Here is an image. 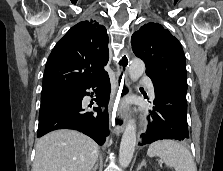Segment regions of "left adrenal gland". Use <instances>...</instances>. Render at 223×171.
Wrapping results in <instances>:
<instances>
[{
    "mask_svg": "<svg viewBox=\"0 0 223 171\" xmlns=\"http://www.w3.org/2000/svg\"><path fill=\"white\" fill-rule=\"evenodd\" d=\"M143 166L146 167V161H145V159H143L142 162L139 164V166L137 167V171H140Z\"/></svg>",
    "mask_w": 223,
    "mask_h": 171,
    "instance_id": "obj_1",
    "label": "left adrenal gland"
}]
</instances>
